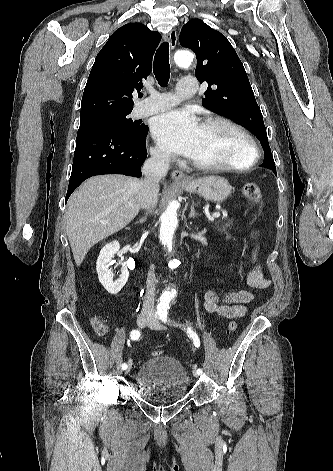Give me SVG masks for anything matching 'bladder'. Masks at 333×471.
<instances>
[{"label": "bladder", "instance_id": "1", "mask_svg": "<svg viewBox=\"0 0 333 471\" xmlns=\"http://www.w3.org/2000/svg\"><path fill=\"white\" fill-rule=\"evenodd\" d=\"M135 382L140 398L152 404H172L189 390V376L183 364L169 355L154 356L139 367Z\"/></svg>", "mask_w": 333, "mask_h": 471}]
</instances>
